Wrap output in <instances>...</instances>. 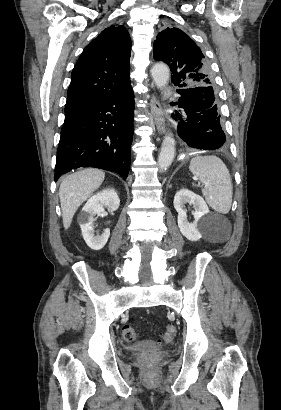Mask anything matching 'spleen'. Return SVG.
I'll list each match as a JSON object with an SVG mask.
<instances>
[{"label":"spleen","mask_w":281,"mask_h":410,"mask_svg":"<svg viewBox=\"0 0 281 410\" xmlns=\"http://www.w3.org/2000/svg\"><path fill=\"white\" fill-rule=\"evenodd\" d=\"M189 169L203 184L202 194L216 212L227 214L232 205L233 187L229 170L214 155L191 159Z\"/></svg>","instance_id":"1"}]
</instances>
